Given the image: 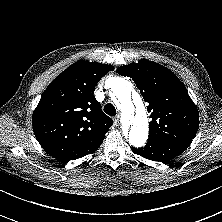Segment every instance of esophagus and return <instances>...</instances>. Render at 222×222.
Masks as SVG:
<instances>
[{
	"instance_id": "1",
	"label": "esophagus",
	"mask_w": 222,
	"mask_h": 222,
	"mask_svg": "<svg viewBox=\"0 0 222 222\" xmlns=\"http://www.w3.org/2000/svg\"><path fill=\"white\" fill-rule=\"evenodd\" d=\"M114 123H115L116 125H119V123H120V116H119V115H117V116L114 117Z\"/></svg>"
}]
</instances>
